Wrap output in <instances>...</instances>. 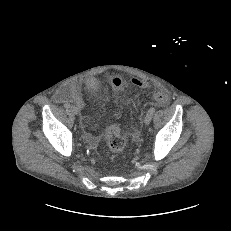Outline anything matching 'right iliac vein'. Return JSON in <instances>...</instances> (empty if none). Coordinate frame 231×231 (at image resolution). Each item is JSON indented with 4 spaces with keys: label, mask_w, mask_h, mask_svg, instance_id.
Segmentation results:
<instances>
[{
    "label": "right iliac vein",
    "mask_w": 231,
    "mask_h": 231,
    "mask_svg": "<svg viewBox=\"0 0 231 231\" xmlns=\"http://www.w3.org/2000/svg\"><path fill=\"white\" fill-rule=\"evenodd\" d=\"M70 111L75 115L79 114L78 108L76 106H74V105L70 106Z\"/></svg>",
    "instance_id": "obj_1"
}]
</instances>
